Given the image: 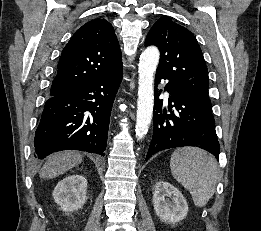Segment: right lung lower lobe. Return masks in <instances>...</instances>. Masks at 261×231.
<instances>
[{"instance_id": "obj_1", "label": "right lung lower lobe", "mask_w": 261, "mask_h": 231, "mask_svg": "<svg viewBox=\"0 0 261 231\" xmlns=\"http://www.w3.org/2000/svg\"><path fill=\"white\" fill-rule=\"evenodd\" d=\"M122 80V65L112 72L45 103L35 133L34 156L43 159L74 149L104 156L110 114Z\"/></svg>"}]
</instances>
